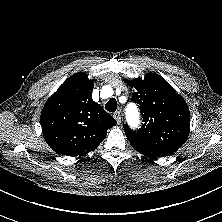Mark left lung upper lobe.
<instances>
[{
	"instance_id": "5c2ea615",
	"label": "left lung upper lobe",
	"mask_w": 222,
	"mask_h": 222,
	"mask_svg": "<svg viewBox=\"0 0 222 222\" xmlns=\"http://www.w3.org/2000/svg\"><path fill=\"white\" fill-rule=\"evenodd\" d=\"M125 82L136 89L132 100L139 104L144 121L137 131L124 124L130 143L180 148L188 137L190 126V113L184 99L155 73Z\"/></svg>"
}]
</instances>
